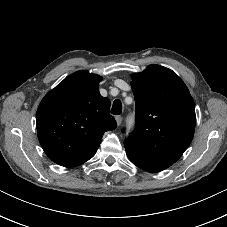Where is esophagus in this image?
I'll list each match as a JSON object with an SVG mask.
<instances>
[{"instance_id":"obj_1","label":"esophagus","mask_w":227,"mask_h":227,"mask_svg":"<svg viewBox=\"0 0 227 227\" xmlns=\"http://www.w3.org/2000/svg\"><path fill=\"white\" fill-rule=\"evenodd\" d=\"M115 119H116L117 125L120 126L121 123H122V117L121 116H116Z\"/></svg>"}]
</instances>
